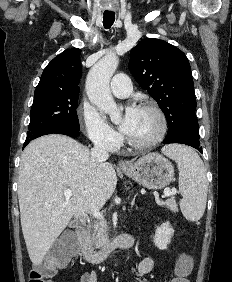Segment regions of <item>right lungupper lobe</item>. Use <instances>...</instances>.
Here are the masks:
<instances>
[{"instance_id":"right-lung-upper-lobe-1","label":"right lung upper lobe","mask_w":232,"mask_h":282,"mask_svg":"<svg viewBox=\"0 0 232 282\" xmlns=\"http://www.w3.org/2000/svg\"><path fill=\"white\" fill-rule=\"evenodd\" d=\"M78 48L67 49L55 57L44 69L35 93L65 92L79 93L82 74Z\"/></svg>"}]
</instances>
